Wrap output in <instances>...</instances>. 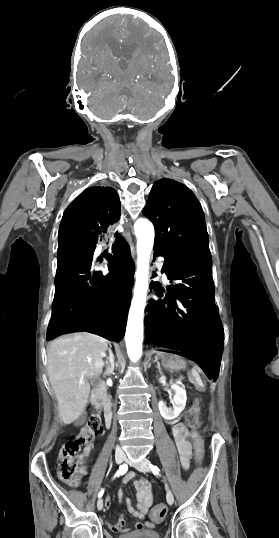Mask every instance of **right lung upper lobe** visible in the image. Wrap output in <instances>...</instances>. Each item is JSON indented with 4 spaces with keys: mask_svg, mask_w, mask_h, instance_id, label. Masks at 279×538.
<instances>
[{
    "mask_svg": "<svg viewBox=\"0 0 279 538\" xmlns=\"http://www.w3.org/2000/svg\"><path fill=\"white\" fill-rule=\"evenodd\" d=\"M98 333L103 334V335H107V334H105V333H101V332H98Z\"/></svg>",
    "mask_w": 279,
    "mask_h": 538,
    "instance_id": "1",
    "label": "right lung upper lobe"
}]
</instances>
